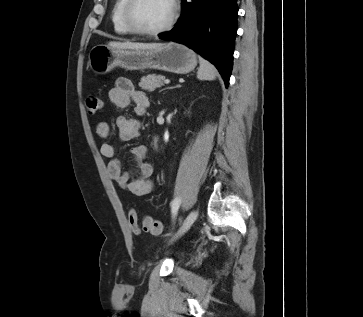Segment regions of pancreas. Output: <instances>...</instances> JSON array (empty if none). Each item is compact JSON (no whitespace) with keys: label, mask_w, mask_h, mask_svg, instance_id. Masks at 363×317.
I'll list each match as a JSON object with an SVG mask.
<instances>
[{"label":"pancreas","mask_w":363,"mask_h":317,"mask_svg":"<svg viewBox=\"0 0 363 317\" xmlns=\"http://www.w3.org/2000/svg\"><path fill=\"white\" fill-rule=\"evenodd\" d=\"M165 77L162 75L149 74L141 78L139 87L149 92L154 91L164 85Z\"/></svg>","instance_id":"pancreas-1"}]
</instances>
